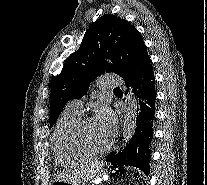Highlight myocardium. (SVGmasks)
I'll return each instance as SVG.
<instances>
[{
	"label": "myocardium",
	"instance_id": "myocardium-1",
	"mask_svg": "<svg viewBox=\"0 0 207 185\" xmlns=\"http://www.w3.org/2000/svg\"><path fill=\"white\" fill-rule=\"evenodd\" d=\"M91 120H92L91 117H85L78 121L73 131L74 142L80 150H82L83 152L87 153L90 156L96 157V156L105 155L109 153L113 148L115 139L114 137H111L109 144L102 150H95L91 148V146L85 140L83 134L85 125Z\"/></svg>",
	"mask_w": 207,
	"mask_h": 185
}]
</instances>
